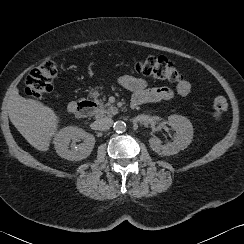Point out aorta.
<instances>
[{"mask_svg": "<svg viewBox=\"0 0 244 244\" xmlns=\"http://www.w3.org/2000/svg\"><path fill=\"white\" fill-rule=\"evenodd\" d=\"M113 127L116 132L122 133L126 130V123L123 121H116Z\"/></svg>", "mask_w": 244, "mask_h": 244, "instance_id": "762f6f07", "label": "aorta"}]
</instances>
